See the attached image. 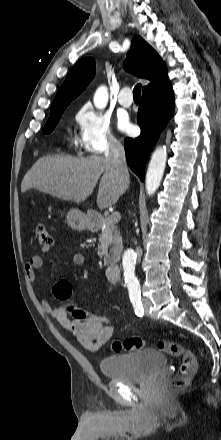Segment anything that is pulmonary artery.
Returning <instances> with one entry per match:
<instances>
[{
    "instance_id": "e3ab8cb5",
    "label": "pulmonary artery",
    "mask_w": 221,
    "mask_h": 440,
    "mask_svg": "<svg viewBox=\"0 0 221 440\" xmlns=\"http://www.w3.org/2000/svg\"><path fill=\"white\" fill-rule=\"evenodd\" d=\"M118 102L123 107H130L133 102L132 91L129 87H123L118 94Z\"/></svg>"
}]
</instances>
